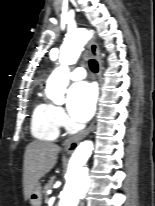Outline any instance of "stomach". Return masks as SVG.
<instances>
[{
    "instance_id": "stomach-1",
    "label": "stomach",
    "mask_w": 155,
    "mask_h": 206,
    "mask_svg": "<svg viewBox=\"0 0 155 206\" xmlns=\"http://www.w3.org/2000/svg\"><path fill=\"white\" fill-rule=\"evenodd\" d=\"M29 201L32 206H41L42 203V192H41V185L37 183L32 192L29 195Z\"/></svg>"
}]
</instances>
